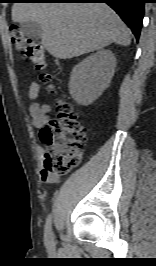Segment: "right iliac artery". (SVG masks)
<instances>
[{
	"label": "right iliac artery",
	"mask_w": 156,
	"mask_h": 266,
	"mask_svg": "<svg viewBox=\"0 0 156 266\" xmlns=\"http://www.w3.org/2000/svg\"><path fill=\"white\" fill-rule=\"evenodd\" d=\"M45 239L47 241H52L53 240V233H52V216L49 215L46 219V224H45Z\"/></svg>",
	"instance_id": "82829eb1"
}]
</instances>
